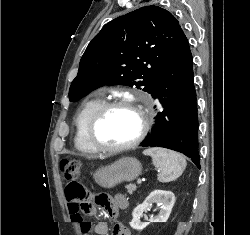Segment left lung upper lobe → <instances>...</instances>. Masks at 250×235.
<instances>
[{"label":"left lung upper lobe","mask_w":250,"mask_h":235,"mask_svg":"<svg viewBox=\"0 0 250 235\" xmlns=\"http://www.w3.org/2000/svg\"><path fill=\"white\" fill-rule=\"evenodd\" d=\"M181 32L178 20L154 5L110 21L87 46L70 86V101L108 84L136 86L150 93Z\"/></svg>","instance_id":"left-lung-upper-lobe-1"}]
</instances>
